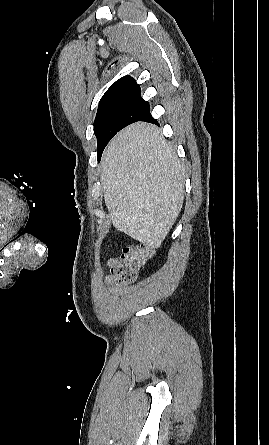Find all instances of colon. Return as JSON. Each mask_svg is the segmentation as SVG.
<instances>
[{
  "label": "colon",
  "instance_id": "1",
  "mask_svg": "<svg viewBox=\"0 0 269 445\" xmlns=\"http://www.w3.org/2000/svg\"><path fill=\"white\" fill-rule=\"evenodd\" d=\"M153 256V250L144 245L137 244L127 246L112 269L115 280L120 285L133 282L139 268L146 264Z\"/></svg>",
  "mask_w": 269,
  "mask_h": 445
}]
</instances>
